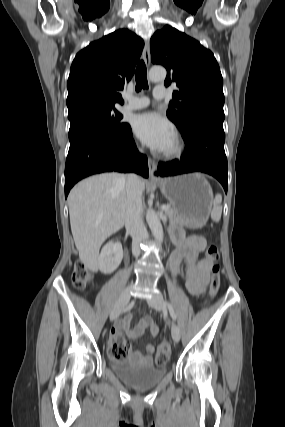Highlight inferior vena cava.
I'll return each mask as SVG.
<instances>
[{
  "label": "inferior vena cava",
  "instance_id": "obj_1",
  "mask_svg": "<svg viewBox=\"0 0 285 427\" xmlns=\"http://www.w3.org/2000/svg\"><path fill=\"white\" fill-rule=\"evenodd\" d=\"M125 178L127 196L125 227L132 237V253L137 258L140 255V243L148 238L142 219V187L136 174H128Z\"/></svg>",
  "mask_w": 285,
  "mask_h": 427
}]
</instances>
